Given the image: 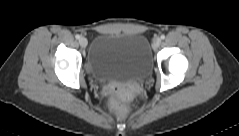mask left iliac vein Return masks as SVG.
<instances>
[{"instance_id":"obj_1","label":"left iliac vein","mask_w":239,"mask_h":136,"mask_svg":"<svg viewBox=\"0 0 239 136\" xmlns=\"http://www.w3.org/2000/svg\"><path fill=\"white\" fill-rule=\"evenodd\" d=\"M160 44H161V39L160 38H156L153 42V46L155 48H158L160 46Z\"/></svg>"}]
</instances>
